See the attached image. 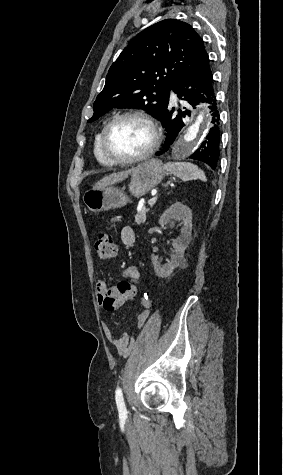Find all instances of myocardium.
<instances>
[{"label": "myocardium", "mask_w": 283, "mask_h": 475, "mask_svg": "<svg viewBox=\"0 0 283 475\" xmlns=\"http://www.w3.org/2000/svg\"><path fill=\"white\" fill-rule=\"evenodd\" d=\"M129 117H135V118L142 119V120H144L145 122H147L149 124V126L152 130L151 143H150L149 147L147 148V150L144 153H142L138 156L131 157V158L112 157L108 154L107 149H106V141H107L108 134H109L111 128L113 127V125L116 122H118L121 119L129 118ZM160 135H161V132H160L159 125L157 123V120L152 115H150L146 112H143V111L123 112V113L115 116L112 120H110L105 125V127L102 131L101 137H100L101 154L108 162H134V164H139V163L145 161L146 159L150 158L154 154V152L156 151V149L159 145V142H160Z\"/></svg>", "instance_id": "myocardium-1"}]
</instances>
